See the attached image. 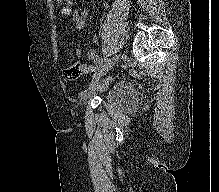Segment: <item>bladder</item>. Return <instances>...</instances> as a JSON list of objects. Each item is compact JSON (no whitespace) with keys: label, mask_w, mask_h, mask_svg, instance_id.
Segmentation results:
<instances>
[{"label":"bladder","mask_w":219,"mask_h":192,"mask_svg":"<svg viewBox=\"0 0 219 192\" xmlns=\"http://www.w3.org/2000/svg\"><path fill=\"white\" fill-rule=\"evenodd\" d=\"M100 98L104 104L124 113L134 110L138 104L134 86L123 79L113 80L101 91Z\"/></svg>","instance_id":"bladder-1"}]
</instances>
